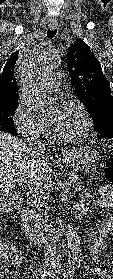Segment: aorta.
Listing matches in <instances>:
<instances>
[{
  "label": "aorta",
  "mask_w": 113,
  "mask_h": 279,
  "mask_svg": "<svg viewBox=\"0 0 113 279\" xmlns=\"http://www.w3.org/2000/svg\"><path fill=\"white\" fill-rule=\"evenodd\" d=\"M42 66L46 71H50L56 68L59 65V58L55 54H50L45 56L42 59ZM33 98H36L34 94L31 95ZM37 102V111L40 113H46L49 109V99L47 96H42L36 98ZM66 240H67V250H68V262L67 267L74 269L80 266L81 263V245L78 232L73 227L72 224L66 226Z\"/></svg>",
  "instance_id": "1"
}]
</instances>
